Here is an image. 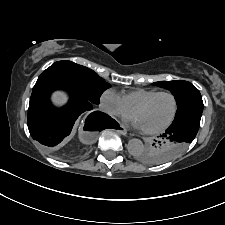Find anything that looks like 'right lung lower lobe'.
I'll use <instances>...</instances> for the list:
<instances>
[{
  "label": "right lung lower lobe",
  "mask_w": 225,
  "mask_h": 225,
  "mask_svg": "<svg viewBox=\"0 0 225 225\" xmlns=\"http://www.w3.org/2000/svg\"><path fill=\"white\" fill-rule=\"evenodd\" d=\"M66 89L71 94L69 103L63 108H54L49 100L52 91ZM93 104L86 92L72 80L52 73H42L30 98L28 108V129L32 138L47 150L60 147L71 133L75 121L81 114L90 113ZM115 122L102 112H91L85 122V129L103 130Z\"/></svg>",
  "instance_id": "98d812e1"
}]
</instances>
